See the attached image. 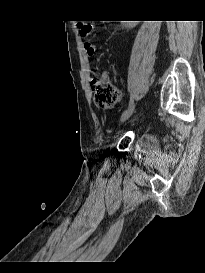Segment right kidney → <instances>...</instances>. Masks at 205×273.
Wrapping results in <instances>:
<instances>
[{
  "label": "right kidney",
  "mask_w": 205,
  "mask_h": 273,
  "mask_svg": "<svg viewBox=\"0 0 205 273\" xmlns=\"http://www.w3.org/2000/svg\"><path fill=\"white\" fill-rule=\"evenodd\" d=\"M138 21H126L123 25L127 27H135L137 25Z\"/></svg>",
  "instance_id": "obj_1"
}]
</instances>
